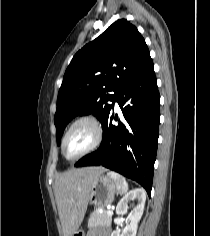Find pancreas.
I'll return each mask as SVG.
<instances>
[{
	"label": "pancreas",
	"instance_id": "1",
	"mask_svg": "<svg viewBox=\"0 0 210 236\" xmlns=\"http://www.w3.org/2000/svg\"><path fill=\"white\" fill-rule=\"evenodd\" d=\"M112 221V216L107 214V211L100 213L98 209H95L88 222V227H94L98 225L110 226Z\"/></svg>",
	"mask_w": 210,
	"mask_h": 236
}]
</instances>
